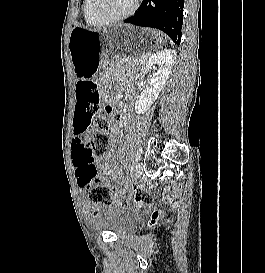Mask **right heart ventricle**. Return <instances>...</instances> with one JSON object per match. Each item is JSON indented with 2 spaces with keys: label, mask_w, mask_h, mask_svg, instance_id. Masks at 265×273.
<instances>
[{
  "label": "right heart ventricle",
  "mask_w": 265,
  "mask_h": 273,
  "mask_svg": "<svg viewBox=\"0 0 265 273\" xmlns=\"http://www.w3.org/2000/svg\"><path fill=\"white\" fill-rule=\"evenodd\" d=\"M93 3L94 0H84V19L87 25L91 27H101L105 23L99 20L94 14Z\"/></svg>",
  "instance_id": "right-heart-ventricle-1"
}]
</instances>
